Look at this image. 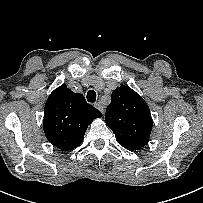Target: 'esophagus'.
<instances>
[{"label":"esophagus","instance_id":"34e87169","mask_svg":"<svg viewBox=\"0 0 203 203\" xmlns=\"http://www.w3.org/2000/svg\"><path fill=\"white\" fill-rule=\"evenodd\" d=\"M102 114L104 113V108L100 103L94 105Z\"/></svg>","mask_w":203,"mask_h":203}]
</instances>
